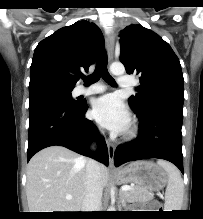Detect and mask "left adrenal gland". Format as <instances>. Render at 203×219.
<instances>
[{"label":"left adrenal gland","mask_w":203,"mask_h":219,"mask_svg":"<svg viewBox=\"0 0 203 219\" xmlns=\"http://www.w3.org/2000/svg\"><path fill=\"white\" fill-rule=\"evenodd\" d=\"M119 195H120V203L122 204L123 207H125L126 204L122 191L119 192Z\"/></svg>","instance_id":"left-adrenal-gland-1"}]
</instances>
